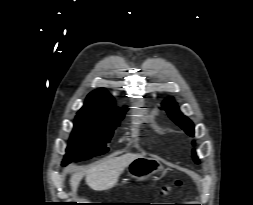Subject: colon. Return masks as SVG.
I'll return each mask as SVG.
<instances>
[{
    "label": "colon",
    "instance_id": "colon-1",
    "mask_svg": "<svg viewBox=\"0 0 253 205\" xmlns=\"http://www.w3.org/2000/svg\"><path fill=\"white\" fill-rule=\"evenodd\" d=\"M174 186L176 187H180L181 186V182L177 181L173 184ZM172 185H167V186H164L161 190H160V194L161 195H165L167 194L168 192H170L172 190Z\"/></svg>",
    "mask_w": 253,
    "mask_h": 205
}]
</instances>
